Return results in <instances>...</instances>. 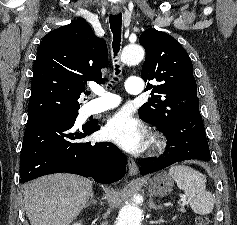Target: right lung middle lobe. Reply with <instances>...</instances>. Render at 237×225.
<instances>
[{
    "label": "right lung middle lobe",
    "instance_id": "right-lung-middle-lobe-1",
    "mask_svg": "<svg viewBox=\"0 0 237 225\" xmlns=\"http://www.w3.org/2000/svg\"><path fill=\"white\" fill-rule=\"evenodd\" d=\"M78 115V112H73V113H68V114H62L60 116H64V117H76Z\"/></svg>",
    "mask_w": 237,
    "mask_h": 225
}]
</instances>
